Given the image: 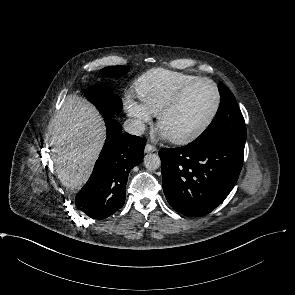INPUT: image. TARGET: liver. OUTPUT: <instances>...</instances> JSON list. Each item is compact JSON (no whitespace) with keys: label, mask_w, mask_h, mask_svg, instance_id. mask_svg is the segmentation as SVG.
<instances>
[{"label":"liver","mask_w":295,"mask_h":295,"mask_svg":"<svg viewBox=\"0 0 295 295\" xmlns=\"http://www.w3.org/2000/svg\"><path fill=\"white\" fill-rule=\"evenodd\" d=\"M49 136L60 182L79 189L88 180L104 142L101 116L85 100L68 96L50 122Z\"/></svg>","instance_id":"6515ba94"}]
</instances>
